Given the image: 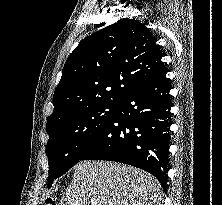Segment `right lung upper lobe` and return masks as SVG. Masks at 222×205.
Returning a JSON list of instances; mask_svg holds the SVG:
<instances>
[{
    "instance_id": "right-lung-upper-lobe-1",
    "label": "right lung upper lobe",
    "mask_w": 222,
    "mask_h": 205,
    "mask_svg": "<svg viewBox=\"0 0 222 205\" xmlns=\"http://www.w3.org/2000/svg\"><path fill=\"white\" fill-rule=\"evenodd\" d=\"M162 53L145 24L116 23L84 38L68 57L47 125L91 105L121 102L127 93L165 69Z\"/></svg>"
}]
</instances>
